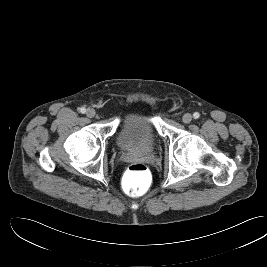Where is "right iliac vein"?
Instances as JSON below:
<instances>
[{
  "label": "right iliac vein",
  "mask_w": 267,
  "mask_h": 267,
  "mask_svg": "<svg viewBox=\"0 0 267 267\" xmlns=\"http://www.w3.org/2000/svg\"><path fill=\"white\" fill-rule=\"evenodd\" d=\"M96 114V111L93 108H88L86 111V115L89 118H93Z\"/></svg>",
  "instance_id": "1"
}]
</instances>
